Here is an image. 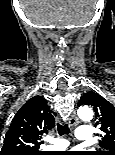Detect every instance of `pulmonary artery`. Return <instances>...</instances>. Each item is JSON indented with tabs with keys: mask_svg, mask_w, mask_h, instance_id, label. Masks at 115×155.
Listing matches in <instances>:
<instances>
[{
	"mask_svg": "<svg viewBox=\"0 0 115 155\" xmlns=\"http://www.w3.org/2000/svg\"><path fill=\"white\" fill-rule=\"evenodd\" d=\"M75 137L83 142H89L92 137L91 128L87 126H80L75 131ZM54 146L51 147L53 150H63L69 146V142L65 139H55L53 141Z\"/></svg>",
	"mask_w": 115,
	"mask_h": 155,
	"instance_id": "e3ab8cb5",
	"label": "pulmonary artery"
}]
</instances>
